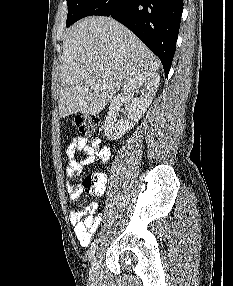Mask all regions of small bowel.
<instances>
[{
  "mask_svg": "<svg viewBox=\"0 0 233 286\" xmlns=\"http://www.w3.org/2000/svg\"><path fill=\"white\" fill-rule=\"evenodd\" d=\"M77 152H83L85 157L81 160H77L75 157ZM109 155L110 153L106 146H100L98 149H94L87 143L85 137L76 136L66 149L68 161L66 174L70 178L80 175L84 166L94 163L96 160L106 162L109 159ZM66 189L69 199L72 202H76L85 192L82 186L71 183L66 184ZM103 192L104 189L95 194H102ZM97 208L98 204L96 202H90L83 209L72 210L69 214V220L74 227L76 238L83 246H87L90 243L92 234L97 230L100 224L101 215L95 214Z\"/></svg>",
  "mask_w": 233,
  "mask_h": 286,
  "instance_id": "c3829d8e",
  "label": "small bowel"
}]
</instances>
